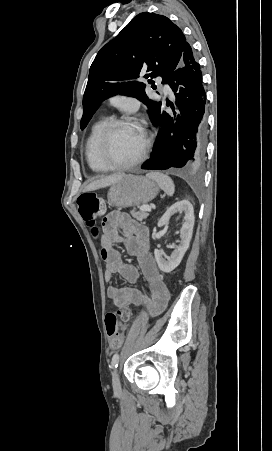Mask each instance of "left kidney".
<instances>
[{
	"label": "left kidney",
	"instance_id": "left-kidney-1",
	"mask_svg": "<svg viewBox=\"0 0 272 451\" xmlns=\"http://www.w3.org/2000/svg\"><path fill=\"white\" fill-rule=\"evenodd\" d=\"M177 212H180V214L183 212V214H185L184 224L180 229L181 241L179 245H176L174 251H172L169 257L168 255H165V253H162L161 249H154L156 261L160 269H162V271H166V273L173 271V269L179 265L185 251H187L195 222L194 208L192 204H190L189 200H181V202H176V204H173V206L168 208L167 212H165L162 218H160L157 226H166L171 216H174ZM163 255H165V257H163Z\"/></svg>",
	"mask_w": 272,
	"mask_h": 451
}]
</instances>
